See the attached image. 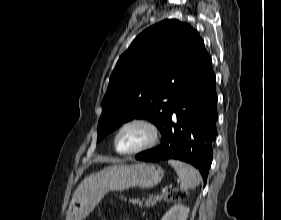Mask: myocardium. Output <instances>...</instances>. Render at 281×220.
I'll use <instances>...</instances> for the list:
<instances>
[{"instance_id": "f54148a6", "label": "myocardium", "mask_w": 281, "mask_h": 220, "mask_svg": "<svg viewBox=\"0 0 281 220\" xmlns=\"http://www.w3.org/2000/svg\"><path fill=\"white\" fill-rule=\"evenodd\" d=\"M133 125H141L148 129L150 136L148 141L143 144L142 146L138 147L137 149L131 150V151H120L117 146V141L120 136V134L125 130L126 128L133 126ZM160 130L159 127L150 119L143 118V117H137L130 119L126 122H124L116 131L114 139H113V146L116 153L120 155L125 156H131V155H137L139 153H142L144 151H147L153 147H155L159 141H160Z\"/></svg>"}]
</instances>
